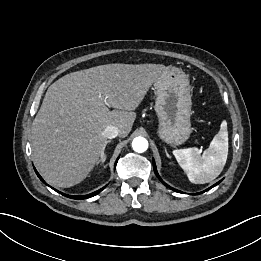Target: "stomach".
<instances>
[{
  "instance_id": "0dacf381",
  "label": "stomach",
  "mask_w": 261,
  "mask_h": 261,
  "mask_svg": "<svg viewBox=\"0 0 261 261\" xmlns=\"http://www.w3.org/2000/svg\"><path fill=\"white\" fill-rule=\"evenodd\" d=\"M155 112L159 120L158 136L177 146L189 138L191 129V95L188 76L180 69L169 68L155 82Z\"/></svg>"
}]
</instances>
